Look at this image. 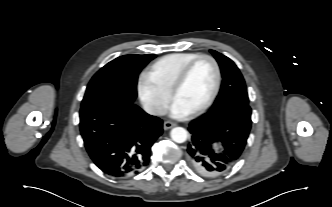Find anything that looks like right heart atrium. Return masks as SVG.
Returning a JSON list of instances; mask_svg holds the SVG:
<instances>
[{"instance_id":"d8ad5b80","label":"right heart atrium","mask_w":332,"mask_h":207,"mask_svg":"<svg viewBox=\"0 0 332 207\" xmlns=\"http://www.w3.org/2000/svg\"><path fill=\"white\" fill-rule=\"evenodd\" d=\"M138 92L146 110L154 115L164 114L170 102V93L157 86L147 75L138 81Z\"/></svg>"}]
</instances>
